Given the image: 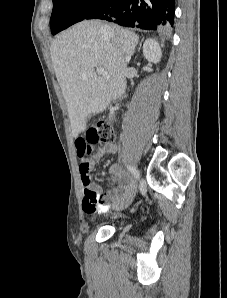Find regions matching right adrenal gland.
I'll use <instances>...</instances> for the list:
<instances>
[{"mask_svg": "<svg viewBox=\"0 0 227 298\" xmlns=\"http://www.w3.org/2000/svg\"><path fill=\"white\" fill-rule=\"evenodd\" d=\"M142 41H143V39H142ZM142 41H141V43L139 44V48H138V51L140 50V48H141V45H142Z\"/></svg>", "mask_w": 227, "mask_h": 298, "instance_id": "obj_1", "label": "right adrenal gland"}]
</instances>
